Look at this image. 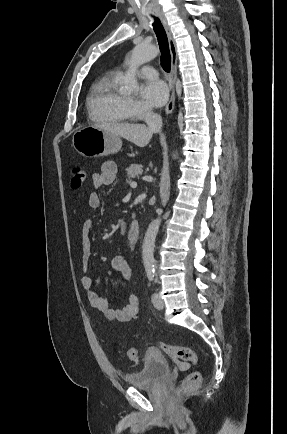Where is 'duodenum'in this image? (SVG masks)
I'll return each instance as SVG.
<instances>
[{"label":"duodenum","instance_id":"obj_1","mask_svg":"<svg viewBox=\"0 0 287 434\" xmlns=\"http://www.w3.org/2000/svg\"><path fill=\"white\" fill-rule=\"evenodd\" d=\"M140 236V226L137 221H132L127 231V238L131 244H136Z\"/></svg>","mask_w":287,"mask_h":434}]
</instances>
